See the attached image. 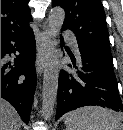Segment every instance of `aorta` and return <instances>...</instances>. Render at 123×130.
I'll return each instance as SVG.
<instances>
[{"label": "aorta", "mask_w": 123, "mask_h": 130, "mask_svg": "<svg viewBox=\"0 0 123 130\" xmlns=\"http://www.w3.org/2000/svg\"><path fill=\"white\" fill-rule=\"evenodd\" d=\"M65 19V11L61 7L50 10L48 16L50 47L46 57L42 87V115L49 120L53 114L59 79V60L57 53L58 35Z\"/></svg>", "instance_id": "1"}]
</instances>
